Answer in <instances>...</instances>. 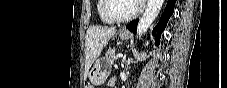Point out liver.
I'll return each mask as SVG.
<instances>
[{
	"label": "liver",
	"mask_w": 227,
	"mask_h": 88,
	"mask_svg": "<svg viewBox=\"0 0 227 88\" xmlns=\"http://www.w3.org/2000/svg\"><path fill=\"white\" fill-rule=\"evenodd\" d=\"M116 33L114 27L91 26L87 30L85 47V67L89 71L94 61L99 57L103 48Z\"/></svg>",
	"instance_id": "liver-1"
}]
</instances>
